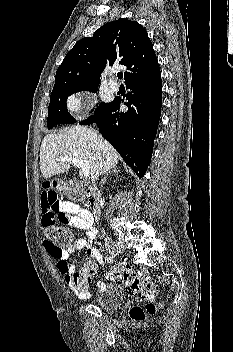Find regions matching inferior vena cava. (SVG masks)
<instances>
[{
	"instance_id": "602c4592",
	"label": "inferior vena cava",
	"mask_w": 233,
	"mask_h": 352,
	"mask_svg": "<svg viewBox=\"0 0 233 352\" xmlns=\"http://www.w3.org/2000/svg\"><path fill=\"white\" fill-rule=\"evenodd\" d=\"M106 244H109L110 242H112L108 237L105 239Z\"/></svg>"
}]
</instances>
